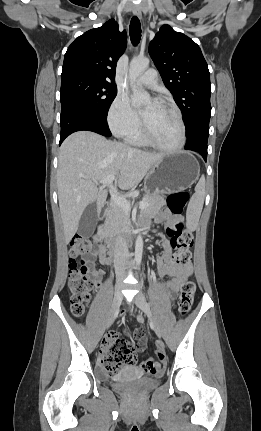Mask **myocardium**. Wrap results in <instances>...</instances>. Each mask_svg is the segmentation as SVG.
Listing matches in <instances>:
<instances>
[{"instance_id": "1", "label": "myocardium", "mask_w": 261, "mask_h": 431, "mask_svg": "<svg viewBox=\"0 0 261 431\" xmlns=\"http://www.w3.org/2000/svg\"><path fill=\"white\" fill-rule=\"evenodd\" d=\"M162 104L164 106H166L167 108H169L171 111L174 112V114L177 117L178 123H179V127H180V137H179V141L177 142L176 145L172 146V147H166V146H162L159 143L156 142V140L153 138V136L151 135V133L149 132L148 128L146 127V125L142 124V135L145 139V141L151 145L152 147H154L155 149L165 152V153H177L179 152L185 145L186 142V128H185V123L182 117L181 112L179 111V109L167 102V101H163Z\"/></svg>"}]
</instances>
